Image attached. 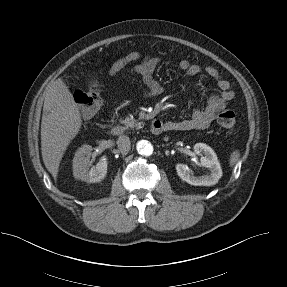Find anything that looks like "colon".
I'll return each instance as SVG.
<instances>
[{"mask_svg": "<svg viewBox=\"0 0 287 287\" xmlns=\"http://www.w3.org/2000/svg\"><path fill=\"white\" fill-rule=\"evenodd\" d=\"M75 102L79 105L84 117L93 116L99 109L102 98L98 82L91 79L85 90H77L73 94ZM219 125L227 132L232 133L236 127L235 113L224 107L217 112Z\"/></svg>", "mask_w": 287, "mask_h": 287, "instance_id": "obj_1", "label": "colon"}]
</instances>
